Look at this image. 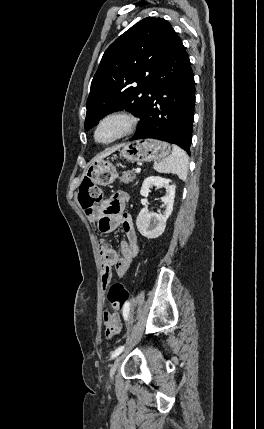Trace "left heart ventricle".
<instances>
[{
	"label": "left heart ventricle",
	"instance_id": "1",
	"mask_svg": "<svg viewBox=\"0 0 264 429\" xmlns=\"http://www.w3.org/2000/svg\"><path fill=\"white\" fill-rule=\"evenodd\" d=\"M121 128H122V123L120 121H117V120L109 121L101 127L98 133V137L101 140H108L113 136H115L121 130Z\"/></svg>",
	"mask_w": 264,
	"mask_h": 429
}]
</instances>
